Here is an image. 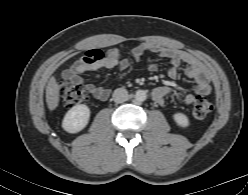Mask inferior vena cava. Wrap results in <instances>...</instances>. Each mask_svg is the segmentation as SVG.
<instances>
[{"mask_svg": "<svg viewBox=\"0 0 248 195\" xmlns=\"http://www.w3.org/2000/svg\"><path fill=\"white\" fill-rule=\"evenodd\" d=\"M128 98V91L124 88H117L113 93V100L115 103H123Z\"/></svg>", "mask_w": 248, "mask_h": 195, "instance_id": "602c4592", "label": "inferior vena cava"}]
</instances>
